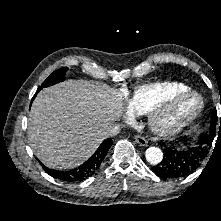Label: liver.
<instances>
[{
  "instance_id": "6515ba94",
  "label": "liver",
  "mask_w": 221,
  "mask_h": 221,
  "mask_svg": "<svg viewBox=\"0 0 221 221\" xmlns=\"http://www.w3.org/2000/svg\"><path fill=\"white\" fill-rule=\"evenodd\" d=\"M122 110L123 98L107 84L69 80L46 88L29 114L30 146L50 168H75L96 151Z\"/></svg>"
}]
</instances>
